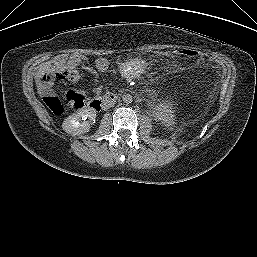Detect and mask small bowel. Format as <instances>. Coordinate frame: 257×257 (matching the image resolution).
<instances>
[{"label": "small bowel", "instance_id": "1", "mask_svg": "<svg viewBox=\"0 0 257 257\" xmlns=\"http://www.w3.org/2000/svg\"><path fill=\"white\" fill-rule=\"evenodd\" d=\"M85 61L82 55L61 56L42 64L37 72L38 91L43 96L53 94L52 82L56 79L76 82L79 78L78 67ZM95 67L99 72H105L110 67V62L105 57H99L95 61ZM44 76L53 78L51 82H45Z\"/></svg>", "mask_w": 257, "mask_h": 257}]
</instances>
